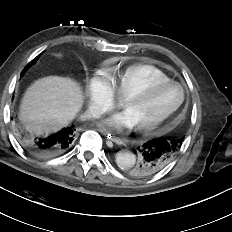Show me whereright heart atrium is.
<instances>
[{"instance_id":"right-heart-atrium-1","label":"right heart atrium","mask_w":232,"mask_h":232,"mask_svg":"<svg viewBox=\"0 0 232 232\" xmlns=\"http://www.w3.org/2000/svg\"><path fill=\"white\" fill-rule=\"evenodd\" d=\"M88 112L92 117H99L111 112L116 106V97L109 79L103 72L95 74L86 88Z\"/></svg>"}]
</instances>
